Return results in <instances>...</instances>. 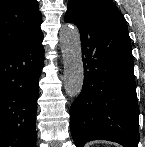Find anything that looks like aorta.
Segmentation results:
<instances>
[{"instance_id":"1","label":"aorta","mask_w":145,"mask_h":147,"mask_svg":"<svg viewBox=\"0 0 145 147\" xmlns=\"http://www.w3.org/2000/svg\"><path fill=\"white\" fill-rule=\"evenodd\" d=\"M59 38L64 64V87L70 97H77L84 81L79 30L74 25L64 24Z\"/></svg>"}]
</instances>
